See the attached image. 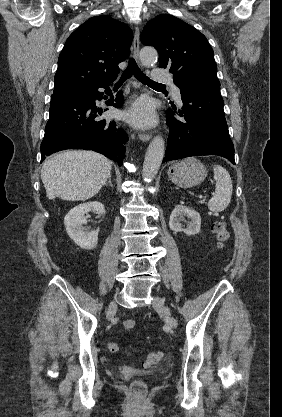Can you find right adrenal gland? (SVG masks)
Instances as JSON below:
<instances>
[{"label": "right adrenal gland", "mask_w": 282, "mask_h": 417, "mask_svg": "<svg viewBox=\"0 0 282 417\" xmlns=\"http://www.w3.org/2000/svg\"><path fill=\"white\" fill-rule=\"evenodd\" d=\"M108 184H110V186H113L112 184V180H111V176H109L108 180H107Z\"/></svg>", "instance_id": "right-adrenal-gland-1"}]
</instances>
